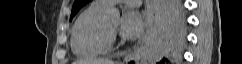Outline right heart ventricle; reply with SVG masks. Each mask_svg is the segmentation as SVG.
<instances>
[{
	"label": "right heart ventricle",
	"instance_id": "e07e8e85",
	"mask_svg": "<svg viewBox=\"0 0 242 64\" xmlns=\"http://www.w3.org/2000/svg\"><path fill=\"white\" fill-rule=\"evenodd\" d=\"M106 7L92 3L76 18L71 28L70 47L80 58H94L101 55L107 45L100 41L98 29L104 21Z\"/></svg>",
	"mask_w": 242,
	"mask_h": 64
}]
</instances>
